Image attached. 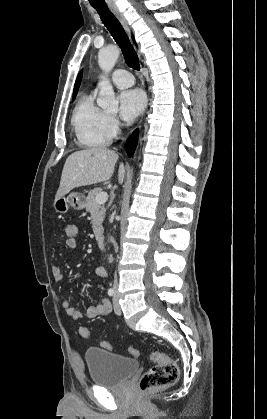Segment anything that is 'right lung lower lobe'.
Masks as SVG:
<instances>
[{
	"mask_svg": "<svg viewBox=\"0 0 267 419\" xmlns=\"http://www.w3.org/2000/svg\"><path fill=\"white\" fill-rule=\"evenodd\" d=\"M138 134L137 130L133 132V134L128 138L126 143V151L129 157H132L134 154L136 145H137Z\"/></svg>",
	"mask_w": 267,
	"mask_h": 419,
	"instance_id": "98d812e1",
	"label": "right lung lower lobe"
}]
</instances>
